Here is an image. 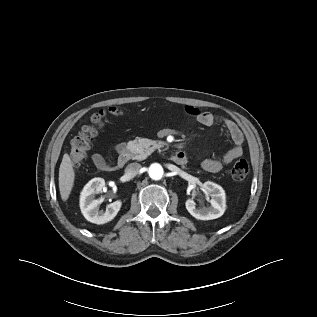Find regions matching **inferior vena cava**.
Segmentation results:
<instances>
[{
    "label": "inferior vena cava",
    "mask_w": 317,
    "mask_h": 317,
    "mask_svg": "<svg viewBox=\"0 0 317 317\" xmlns=\"http://www.w3.org/2000/svg\"><path fill=\"white\" fill-rule=\"evenodd\" d=\"M140 169H141V164L137 162L130 163L125 168V174L129 177H134L139 173Z\"/></svg>",
    "instance_id": "obj_1"
}]
</instances>
